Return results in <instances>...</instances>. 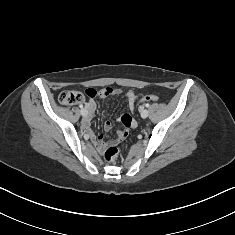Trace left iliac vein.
I'll list each match as a JSON object with an SVG mask.
<instances>
[{
    "label": "left iliac vein",
    "mask_w": 235,
    "mask_h": 235,
    "mask_svg": "<svg viewBox=\"0 0 235 235\" xmlns=\"http://www.w3.org/2000/svg\"><path fill=\"white\" fill-rule=\"evenodd\" d=\"M141 117L142 118H147L148 117V110L147 109H143L141 111Z\"/></svg>",
    "instance_id": "left-iliac-vein-1"
}]
</instances>
